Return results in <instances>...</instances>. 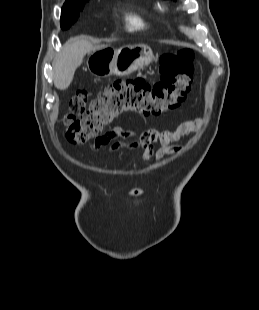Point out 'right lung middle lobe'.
Wrapping results in <instances>:
<instances>
[{
    "label": "right lung middle lobe",
    "instance_id": "1",
    "mask_svg": "<svg viewBox=\"0 0 259 310\" xmlns=\"http://www.w3.org/2000/svg\"><path fill=\"white\" fill-rule=\"evenodd\" d=\"M86 2L87 1H84L81 2L79 5L74 6L70 9L62 10L60 22H61V28L63 30L69 29L70 26L77 21L80 12L82 11L84 4Z\"/></svg>",
    "mask_w": 259,
    "mask_h": 310
}]
</instances>
